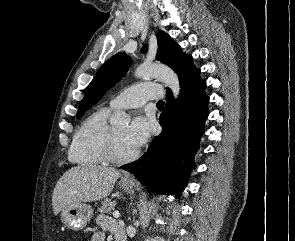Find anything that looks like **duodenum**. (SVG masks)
I'll return each instance as SVG.
<instances>
[{"mask_svg":"<svg viewBox=\"0 0 295 241\" xmlns=\"http://www.w3.org/2000/svg\"><path fill=\"white\" fill-rule=\"evenodd\" d=\"M116 241H126L124 234H122V235H117V236H116Z\"/></svg>","mask_w":295,"mask_h":241,"instance_id":"1","label":"duodenum"}]
</instances>
